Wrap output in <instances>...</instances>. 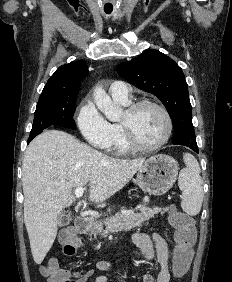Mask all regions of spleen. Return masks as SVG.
Wrapping results in <instances>:
<instances>
[{"mask_svg": "<svg viewBox=\"0 0 232 282\" xmlns=\"http://www.w3.org/2000/svg\"><path fill=\"white\" fill-rule=\"evenodd\" d=\"M186 168L179 174L178 185L182 191L181 207L191 216L197 215L203 201V181L200 176V166L196 158L185 153L183 156Z\"/></svg>", "mask_w": 232, "mask_h": 282, "instance_id": "3e777b00", "label": "spleen"}]
</instances>
